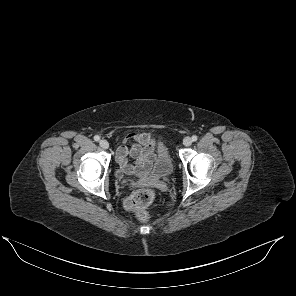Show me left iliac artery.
<instances>
[{"label": "left iliac artery", "instance_id": "left-iliac-artery-1", "mask_svg": "<svg viewBox=\"0 0 296 296\" xmlns=\"http://www.w3.org/2000/svg\"><path fill=\"white\" fill-rule=\"evenodd\" d=\"M198 137L196 135L192 136V141H197Z\"/></svg>", "mask_w": 296, "mask_h": 296}]
</instances>
